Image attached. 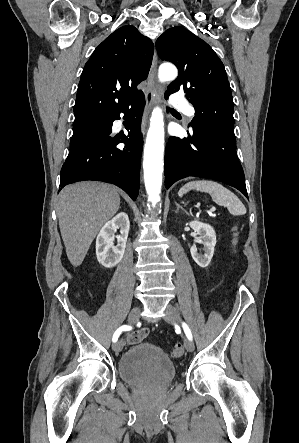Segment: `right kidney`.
I'll use <instances>...</instances> for the list:
<instances>
[{"label": "right kidney", "instance_id": "ca27d5eb", "mask_svg": "<svg viewBox=\"0 0 299 443\" xmlns=\"http://www.w3.org/2000/svg\"><path fill=\"white\" fill-rule=\"evenodd\" d=\"M120 228L117 245H113L114 232ZM130 222L125 212L117 214L100 230L96 239V256L98 262L106 268L115 267L123 258Z\"/></svg>", "mask_w": 299, "mask_h": 443}]
</instances>
